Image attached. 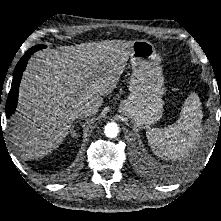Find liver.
<instances>
[{
  "instance_id": "obj_1",
  "label": "liver",
  "mask_w": 221,
  "mask_h": 221,
  "mask_svg": "<svg viewBox=\"0 0 221 221\" xmlns=\"http://www.w3.org/2000/svg\"><path fill=\"white\" fill-rule=\"evenodd\" d=\"M133 41L110 40L38 52L24 72L13 118V138L28 158L43 157L64 141L79 106L99 109L124 71Z\"/></svg>"
}]
</instances>
